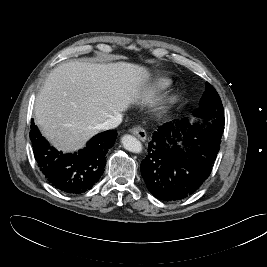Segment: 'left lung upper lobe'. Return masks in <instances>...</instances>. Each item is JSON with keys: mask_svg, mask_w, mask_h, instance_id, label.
I'll use <instances>...</instances> for the list:
<instances>
[{"mask_svg": "<svg viewBox=\"0 0 267 267\" xmlns=\"http://www.w3.org/2000/svg\"><path fill=\"white\" fill-rule=\"evenodd\" d=\"M199 105L200 107L193 112L195 116L213 120V123L220 127L224 126V111L221 99L209 83H206V89Z\"/></svg>", "mask_w": 267, "mask_h": 267, "instance_id": "left-lung-upper-lobe-1", "label": "left lung upper lobe"}]
</instances>
